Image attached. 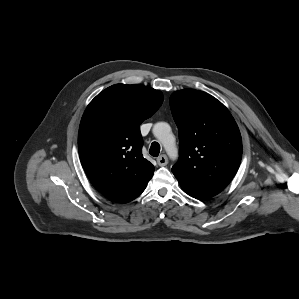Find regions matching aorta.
<instances>
[{"label": "aorta", "instance_id": "762f6f07", "mask_svg": "<svg viewBox=\"0 0 299 299\" xmlns=\"http://www.w3.org/2000/svg\"><path fill=\"white\" fill-rule=\"evenodd\" d=\"M154 136L163 144L167 154L171 158H176L178 150L175 145V138L171 132V127L166 122H158L153 127Z\"/></svg>", "mask_w": 299, "mask_h": 299}]
</instances>
